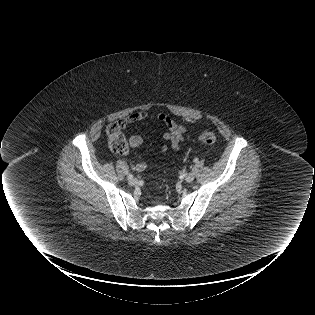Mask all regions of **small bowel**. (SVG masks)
Returning <instances> with one entry per match:
<instances>
[{
  "label": "small bowel",
  "mask_w": 315,
  "mask_h": 315,
  "mask_svg": "<svg viewBox=\"0 0 315 315\" xmlns=\"http://www.w3.org/2000/svg\"><path fill=\"white\" fill-rule=\"evenodd\" d=\"M147 119H156L165 126L163 137L169 142V146L161 144L158 147L160 153L167 152L169 148L173 151H179L184 141L189 140V134L186 128L165 113L154 114L147 111H138L122 118L119 122L125 127L127 124L141 122ZM142 143L143 139L139 135H132L129 139V144L132 149H138ZM133 169L137 172H143L146 169V164L144 162L135 163Z\"/></svg>",
  "instance_id": "1"
}]
</instances>
